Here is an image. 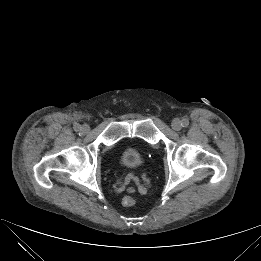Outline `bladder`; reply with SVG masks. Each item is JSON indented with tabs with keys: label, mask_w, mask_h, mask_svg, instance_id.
Masks as SVG:
<instances>
[{
	"label": "bladder",
	"mask_w": 261,
	"mask_h": 261,
	"mask_svg": "<svg viewBox=\"0 0 261 261\" xmlns=\"http://www.w3.org/2000/svg\"><path fill=\"white\" fill-rule=\"evenodd\" d=\"M145 154L143 148L127 146L123 149L121 163L129 169L138 168L142 164Z\"/></svg>",
	"instance_id": "1"
}]
</instances>
